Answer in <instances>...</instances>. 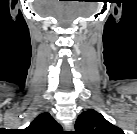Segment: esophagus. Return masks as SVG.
<instances>
[{
  "label": "esophagus",
  "instance_id": "esophagus-1",
  "mask_svg": "<svg viewBox=\"0 0 137 134\" xmlns=\"http://www.w3.org/2000/svg\"><path fill=\"white\" fill-rule=\"evenodd\" d=\"M65 129L67 130V131H73L74 130V126H73V124H67L66 126H65Z\"/></svg>",
  "mask_w": 137,
  "mask_h": 134
}]
</instances>
